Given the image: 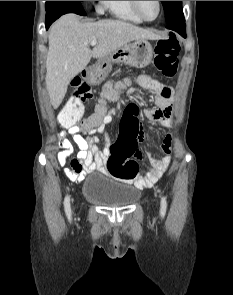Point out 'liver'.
<instances>
[{
	"instance_id": "liver-1",
	"label": "liver",
	"mask_w": 233,
	"mask_h": 295,
	"mask_svg": "<svg viewBox=\"0 0 233 295\" xmlns=\"http://www.w3.org/2000/svg\"><path fill=\"white\" fill-rule=\"evenodd\" d=\"M98 44L91 50L92 40ZM136 39L157 40L151 31L121 20H100L81 23L69 13L60 17L51 27L46 58V86L54 109L61 104L70 81L90 62L103 58Z\"/></svg>"
}]
</instances>
